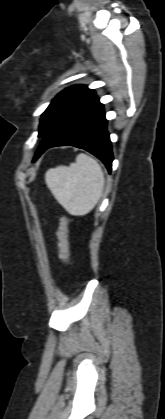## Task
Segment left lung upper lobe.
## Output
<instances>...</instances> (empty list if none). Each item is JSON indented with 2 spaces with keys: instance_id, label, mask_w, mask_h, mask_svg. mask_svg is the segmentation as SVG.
Returning a JSON list of instances; mask_svg holds the SVG:
<instances>
[{
  "instance_id": "left-lung-upper-lobe-1",
  "label": "left lung upper lobe",
  "mask_w": 165,
  "mask_h": 419,
  "mask_svg": "<svg viewBox=\"0 0 165 419\" xmlns=\"http://www.w3.org/2000/svg\"><path fill=\"white\" fill-rule=\"evenodd\" d=\"M93 96L95 92L83 85L63 90L41 115L38 137H44L65 114Z\"/></svg>"
}]
</instances>
